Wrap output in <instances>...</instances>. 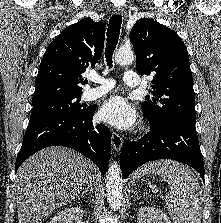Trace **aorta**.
<instances>
[{
  "mask_svg": "<svg viewBox=\"0 0 221 223\" xmlns=\"http://www.w3.org/2000/svg\"><path fill=\"white\" fill-rule=\"evenodd\" d=\"M115 61L120 65L130 64L134 61V53L130 49H119L115 53ZM122 187L120 167L117 162H113L109 164L106 175L107 200L113 210H118L122 204Z\"/></svg>",
  "mask_w": 221,
  "mask_h": 223,
  "instance_id": "762f6f07",
  "label": "aorta"
}]
</instances>
